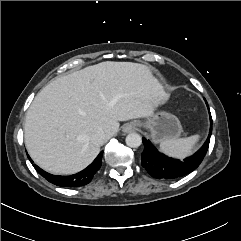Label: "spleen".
<instances>
[{"label": "spleen", "instance_id": "1", "mask_svg": "<svg viewBox=\"0 0 241 241\" xmlns=\"http://www.w3.org/2000/svg\"><path fill=\"white\" fill-rule=\"evenodd\" d=\"M199 140V135H192L187 138L169 139L160 143V149L170 157L183 159L189 156L192 148Z\"/></svg>", "mask_w": 241, "mask_h": 241}]
</instances>
